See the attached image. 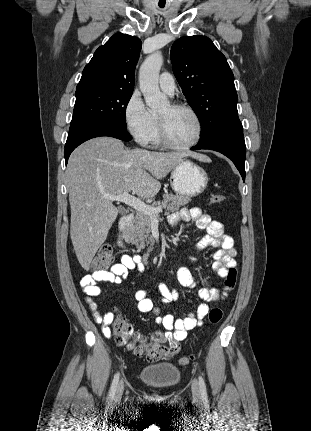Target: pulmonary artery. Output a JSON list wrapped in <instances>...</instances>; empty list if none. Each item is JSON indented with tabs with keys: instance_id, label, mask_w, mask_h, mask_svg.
<instances>
[{
	"instance_id": "1",
	"label": "pulmonary artery",
	"mask_w": 311,
	"mask_h": 431,
	"mask_svg": "<svg viewBox=\"0 0 311 431\" xmlns=\"http://www.w3.org/2000/svg\"><path fill=\"white\" fill-rule=\"evenodd\" d=\"M158 84L160 89L166 94H172L176 89V84L173 76L168 72H163L159 79Z\"/></svg>"
}]
</instances>
